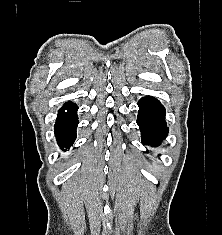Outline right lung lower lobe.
Instances as JSON below:
<instances>
[{
  "label": "right lung lower lobe",
  "mask_w": 222,
  "mask_h": 235,
  "mask_svg": "<svg viewBox=\"0 0 222 235\" xmlns=\"http://www.w3.org/2000/svg\"><path fill=\"white\" fill-rule=\"evenodd\" d=\"M77 109V105L73 102H67L59 109L55 134L62 150L69 149L76 139Z\"/></svg>",
  "instance_id": "98d812e1"
}]
</instances>
